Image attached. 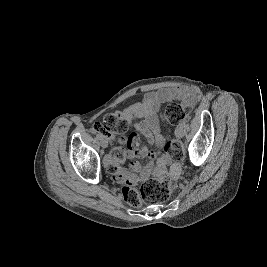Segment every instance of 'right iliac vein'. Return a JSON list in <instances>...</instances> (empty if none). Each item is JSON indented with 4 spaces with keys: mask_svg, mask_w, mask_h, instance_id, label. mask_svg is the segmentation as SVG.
Listing matches in <instances>:
<instances>
[{
    "mask_svg": "<svg viewBox=\"0 0 267 267\" xmlns=\"http://www.w3.org/2000/svg\"><path fill=\"white\" fill-rule=\"evenodd\" d=\"M101 145H102V147H104L106 145V140L101 139Z\"/></svg>",
    "mask_w": 267,
    "mask_h": 267,
    "instance_id": "obj_1",
    "label": "right iliac vein"
}]
</instances>
